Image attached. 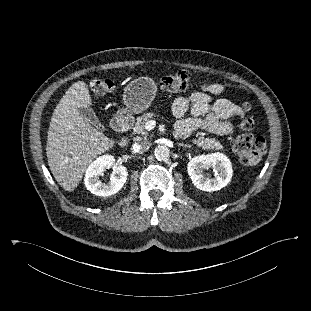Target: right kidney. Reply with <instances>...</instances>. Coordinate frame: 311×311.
I'll return each instance as SVG.
<instances>
[{
	"label": "right kidney",
	"mask_w": 311,
	"mask_h": 311,
	"mask_svg": "<svg viewBox=\"0 0 311 311\" xmlns=\"http://www.w3.org/2000/svg\"><path fill=\"white\" fill-rule=\"evenodd\" d=\"M113 168L108 184L102 183L99 176H103L105 168ZM128 172L126 167L116 162L111 155H104L93 161L88 167L84 184L87 190L96 196L108 197L116 194L127 181Z\"/></svg>",
	"instance_id": "1"
}]
</instances>
